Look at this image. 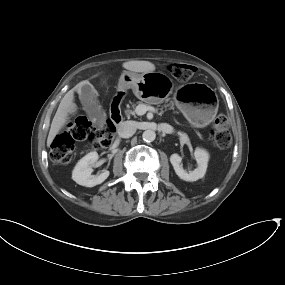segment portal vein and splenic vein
Listing matches in <instances>:
<instances>
[{
    "label": "portal vein and splenic vein",
    "instance_id": "1",
    "mask_svg": "<svg viewBox=\"0 0 285 285\" xmlns=\"http://www.w3.org/2000/svg\"><path fill=\"white\" fill-rule=\"evenodd\" d=\"M147 111L155 112L156 110L154 107L147 106L145 104H139L135 109V112L140 116L144 115Z\"/></svg>",
    "mask_w": 285,
    "mask_h": 285
}]
</instances>
